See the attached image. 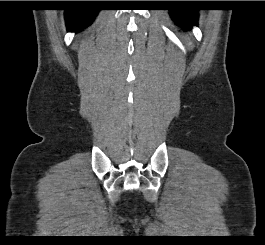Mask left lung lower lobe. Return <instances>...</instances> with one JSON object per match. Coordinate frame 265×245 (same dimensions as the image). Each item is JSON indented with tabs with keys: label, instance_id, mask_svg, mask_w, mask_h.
I'll return each mask as SVG.
<instances>
[{
	"label": "left lung lower lobe",
	"instance_id": "obj_1",
	"mask_svg": "<svg viewBox=\"0 0 265 245\" xmlns=\"http://www.w3.org/2000/svg\"><path fill=\"white\" fill-rule=\"evenodd\" d=\"M171 18L177 25L184 29H190L192 25L197 26L198 10L195 9H178L170 10Z\"/></svg>",
	"mask_w": 265,
	"mask_h": 245
}]
</instances>
